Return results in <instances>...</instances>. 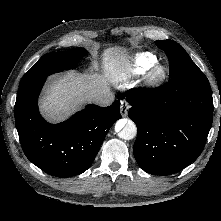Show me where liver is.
Here are the masks:
<instances>
[{
    "instance_id": "6515ba94",
    "label": "liver",
    "mask_w": 221,
    "mask_h": 221,
    "mask_svg": "<svg viewBox=\"0 0 221 221\" xmlns=\"http://www.w3.org/2000/svg\"><path fill=\"white\" fill-rule=\"evenodd\" d=\"M125 56L118 48H109L103 57L104 75L67 72L51 80L40 100L42 114L52 122L68 117L82 103L110 91V74L119 70Z\"/></svg>"
}]
</instances>
